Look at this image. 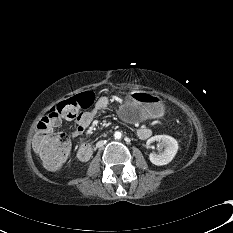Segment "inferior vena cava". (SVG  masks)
<instances>
[{
	"instance_id": "602c4592",
	"label": "inferior vena cava",
	"mask_w": 233,
	"mask_h": 233,
	"mask_svg": "<svg viewBox=\"0 0 233 233\" xmlns=\"http://www.w3.org/2000/svg\"><path fill=\"white\" fill-rule=\"evenodd\" d=\"M103 145H104L103 141H99V142L97 143V147H101V146H103Z\"/></svg>"
}]
</instances>
